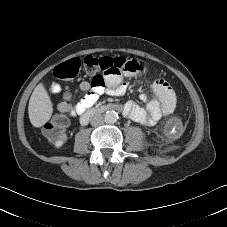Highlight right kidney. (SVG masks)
<instances>
[{"label": "right kidney", "mask_w": 227, "mask_h": 227, "mask_svg": "<svg viewBox=\"0 0 227 227\" xmlns=\"http://www.w3.org/2000/svg\"><path fill=\"white\" fill-rule=\"evenodd\" d=\"M62 145H63V141H58V142H56V144H55V146H56L57 148L61 147Z\"/></svg>", "instance_id": "right-kidney-1"}]
</instances>
